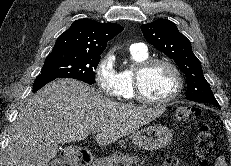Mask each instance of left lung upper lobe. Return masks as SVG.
Segmentation results:
<instances>
[{"instance_id": "5c2ea615", "label": "left lung upper lobe", "mask_w": 231, "mask_h": 166, "mask_svg": "<svg viewBox=\"0 0 231 166\" xmlns=\"http://www.w3.org/2000/svg\"><path fill=\"white\" fill-rule=\"evenodd\" d=\"M141 30L145 39L156 49L174 60L186 75L187 96L190 101L217 103L205 79L200 61L194 55L190 41L179 32L170 20L158 19L144 24Z\"/></svg>"}]
</instances>
